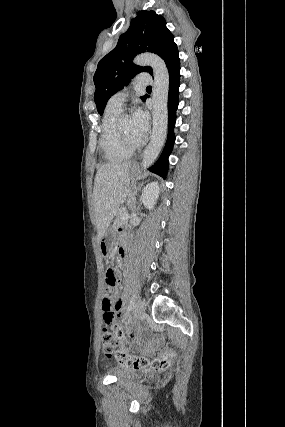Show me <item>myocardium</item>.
<instances>
[{
	"label": "myocardium",
	"instance_id": "1",
	"mask_svg": "<svg viewBox=\"0 0 285 427\" xmlns=\"http://www.w3.org/2000/svg\"><path fill=\"white\" fill-rule=\"evenodd\" d=\"M128 113L122 112L119 114L117 121H116V132L118 134V137L120 139V141L122 142L123 146L126 147L127 149L130 150H136L139 147H141L143 145V141H139V142H131L128 137L126 136L124 129H123V119L128 116Z\"/></svg>",
	"mask_w": 285,
	"mask_h": 427
}]
</instances>
